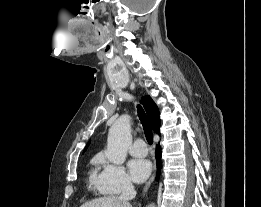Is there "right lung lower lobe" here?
<instances>
[{
    "instance_id": "1",
    "label": "right lung lower lobe",
    "mask_w": 261,
    "mask_h": 207,
    "mask_svg": "<svg viewBox=\"0 0 261 207\" xmlns=\"http://www.w3.org/2000/svg\"><path fill=\"white\" fill-rule=\"evenodd\" d=\"M156 159H157V168H158L156 178L158 179L160 176V170H161V147H160V145H158L156 148Z\"/></svg>"
}]
</instances>
